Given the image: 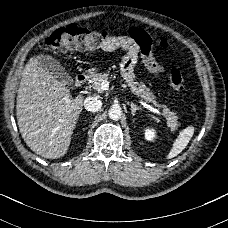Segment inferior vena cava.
Segmentation results:
<instances>
[{"label":"inferior vena cava","mask_w":228,"mask_h":228,"mask_svg":"<svg viewBox=\"0 0 228 228\" xmlns=\"http://www.w3.org/2000/svg\"><path fill=\"white\" fill-rule=\"evenodd\" d=\"M102 107V102L98 97H87L84 100V108L90 112H97Z\"/></svg>","instance_id":"602c4592"}]
</instances>
